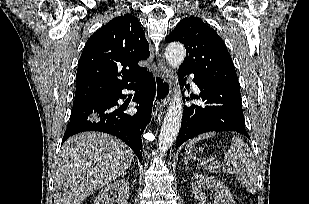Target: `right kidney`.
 <instances>
[{
	"label": "right kidney",
	"mask_w": 309,
	"mask_h": 204,
	"mask_svg": "<svg viewBox=\"0 0 309 204\" xmlns=\"http://www.w3.org/2000/svg\"><path fill=\"white\" fill-rule=\"evenodd\" d=\"M118 194L116 204H128L129 183L125 180H118L103 188L94 200L93 204H113L111 196Z\"/></svg>",
	"instance_id": "right-kidney-1"
}]
</instances>
